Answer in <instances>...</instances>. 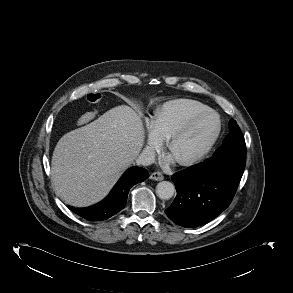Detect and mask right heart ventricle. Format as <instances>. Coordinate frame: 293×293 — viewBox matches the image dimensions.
Here are the masks:
<instances>
[{
    "label": "right heart ventricle",
    "instance_id": "right-heart-ventricle-1",
    "mask_svg": "<svg viewBox=\"0 0 293 293\" xmlns=\"http://www.w3.org/2000/svg\"><path fill=\"white\" fill-rule=\"evenodd\" d=\"M209 110V107L193 99H174L161 105L154 113L153 125L163 138L168 137L193 115Z\"/></svg>",
    "mask_w": 293,
    "mask_h": 293
}]
</instances>
